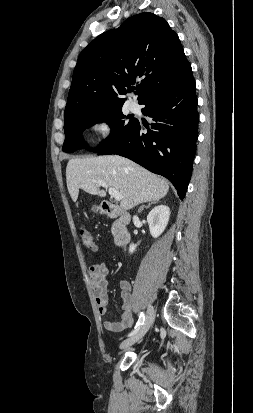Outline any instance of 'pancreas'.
I'll return each mask as SVG.
<instances>
[{
    "label": "pancreas",
    "mask_w": 253,
    "mask_h": 413,
    "mask_svg": "<svg viewBox=\"0 0 253 413\" xmlns=\"http://www.w3.org/2000/svg\"><path fill=\"white\" fill-rule=\"evenodd\" d=\"M112 233H114V228H112Z\"/></svg>",
    "instance_id": "cf45deb5"
}]
</instances>
